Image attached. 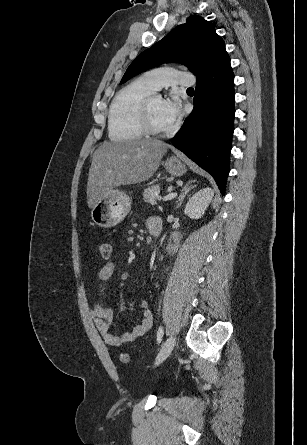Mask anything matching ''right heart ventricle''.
Returning <instances> with one entry per match:
<instances>
[{
	"instance_id": "obj_1",
	"label": "right heart ventricle",
	"mask_w": 307,
	"mask_h": 445,
	"mask_svg": "<svg viewBox=\"0 0 307 445\" xmlns=\"http://www.w3.org/2000/svg\"><path fill=\"white\" fill-rule=\"evenodd\" d=\"M154 91L147 80H137L118 93L108 113L112 140H146L140 108Z\"/></svg>"
}]
</instances>
